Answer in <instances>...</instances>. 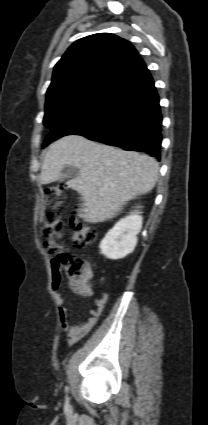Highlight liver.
Wrapping results in <instances>:
<instances>
[{
    "mask_svg": "<svg viewBox=\"0 0 208 425\" xmlns=\"http://www.w3.org/2000/svg\"><path fill=\"white\" fill-rule=\"evenodd\" d=\"M66 166L79 170L66 184L81 194L83 208L78 216L89 223L113 218L128 201L150 192L159 171L153 157L79 135L64 136L49 147L41 169V184L59 180Z\"/></svg>",
    "mask_w": 208,
    "mask_h": 425,
    "instance_id": "6515ba94",
    "label": "liver"
}]
</instances>
